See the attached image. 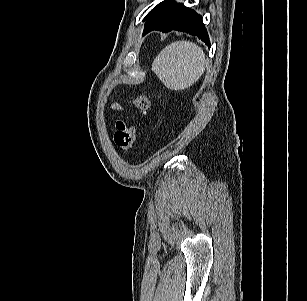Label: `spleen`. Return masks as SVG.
<instances>
[{
	"label": "spleen",
	"mask_w": 307,
	"mask_h": 301,
	"mask_svg": "<svg viewBox=\"0 0 307 301\" xmlns=\"http://www.w3.org/2000/svg\"><path fill=\"white\" fill-rule=\"evenodd\" d=\"M204 51L190 41H177L160 51L152 63V71L171 90H184L196 83L205 70Z\"/></svg>",
	"instance_id": "spleen-1"
}]
</instances>
